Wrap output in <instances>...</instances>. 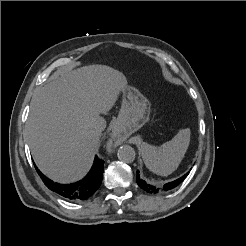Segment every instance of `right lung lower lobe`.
Here are the masks:
<instances>
[{"mask_svg":"<svg viewBox=\"0 0 246 246\" xmlns=\"http://www.w3.org/2000/svg\"><path fill=\"white\" fill-rule=\"evenodd\" d=\"M104 161L95 157L94 164L88 175L77 183L63 185L48 179L38 170L44 184L53 192L57 193L66 200L79 202L92 196L102 183Z\"/></svg>","mask_w":246,"mask_h":246,"instance_id":"98d812e1","label":"right lung lower lobe"}]
</instances>
